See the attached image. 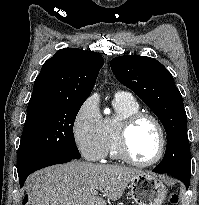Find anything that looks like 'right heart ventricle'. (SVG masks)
<instances>
[{
    "label": "right heart ventricle",
    "mask_w": 199,
    "mask_h": 205,
    "mask_svg": "<svg viewBox=\"0 0 199 205\" xmlns=\"http://www.w3.org/2000/svg\"><path fill=\"white\" fill-rule=\"evenodd\" d=\"M113 106L116 114L103 120V132L105 139V156L112 159H119L116 148L117 128L120 121L127 115L140 110L139 103L129 94L117 93L113 99Z\"/></svg>",
    "instance_id": "e07e8e85"
}]
</instances>
